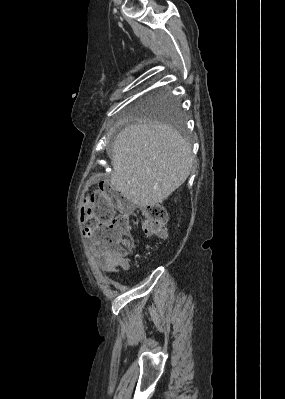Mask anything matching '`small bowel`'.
<instances>
[{
  "label": "small bowel",
  "mask_w": 285,
  "mask_h": 399,
  "mask_svg": "<svg viewBox=\"0 0 285 399\" xmlns=\"http://www.w3.org/2000/svg\"><path fill=\"white\" fill-rule=\"evenodd\" d=\"M106 262L108 263L109 266H112V263L109 260H107Z\"/></svg>",
  "instance_id": "small-bowel-1"
}]
</instances>
